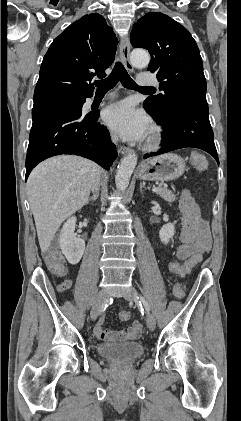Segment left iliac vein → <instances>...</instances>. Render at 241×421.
Masks as SVG:
<instances>
[{"label":"left iliac vein","instance_id":"left-iliac-vein-1","mask_svg":"<svg viewBox=\"0 0 241 421\" xmlns=\"http://www.w3.org/2000/svg\"><path fill=\"white\" fill-rule=\"evenodd\" d=\"M124 298L127 301H138V296H137V292L135 290V288L131 287L129 288V290L124 294ZM146 323L148 328L153 331L156 327V320L154 318V316L151 313H147V317H146Z\"/></svg>","mask_w":241,"mask_h":421}]
</instances>
